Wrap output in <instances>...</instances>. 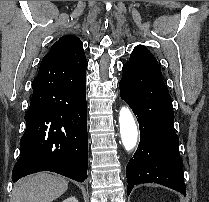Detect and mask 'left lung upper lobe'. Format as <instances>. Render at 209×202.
<instances>
[{"mask_svg": "<svg viewBox=\"0 0 209 202\" xmlns=\"http://www.w3.org/2000/svg\"><path fill=\"white\" fill-rule=\"evenodd\" d=\"M126 64L136 67L148 74L162 77L156 58L142 45H138L134 48L129 61H127Z\"/></svg>", "mask_w": 209, "mask_h": 202, "instance_id": "5c2ea615", "label": "left lung upper lobe"}]
</instances>
